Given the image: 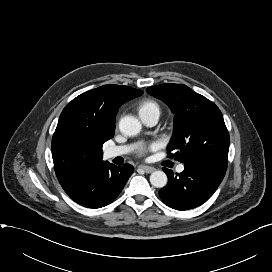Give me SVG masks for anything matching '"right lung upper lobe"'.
Masks as SVG:
<instances>
[{
  "mask_svg": "<svg viewBox=\"0 0 272 272\" xmlns=\"http://www.w3.org/2000/svg\"><path fill=\"white\" fill-rule=\"evenodd\" d=\"M142 94L129 86L103 85L67 104L52 138L54 170L61 186L103 162L102 146L114 136L118 109Z\"/></svg>",
  "mask_w": 272,
  "mask_h": 272,
  "instance_id": "cb5924a9",
  "label": "right lung upper lobe"
}]
</instances>
